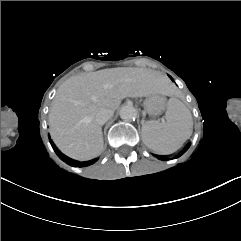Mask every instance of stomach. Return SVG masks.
<instances>
[{
	"instance_id": "obj_1",
	"label": "stomach",
	"mask_w": 241,
	"mask_h": 241,
	"mask_svg": "<svg viewBox=\"0 0 241 241\" xmlns=\"http://www.w3.org/2000/svg\"><path fill=\"white\" fill-rule=\"evenodd\" d=\"M165 107V98L159 94L150 95L144 101V108L152 117L161 115Z\"/></svg>"
}]
</instances>
